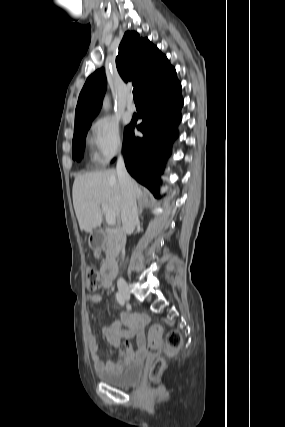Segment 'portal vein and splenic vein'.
Masks as SVG:
<instances>
[{
    "mask_svg": "<svg viewBox=\"0 0 285 427\" xmlns=\"http://www.w3.org/2000/svg\"><path fill=\"white\" fill-rule=\"evenodd\" d=\"M103 211L105 212L106 222L109 225H114L116 223L115 212L108 207L106 203L101 204Z\"/></svg>",
    "mask_w": 285,
    "mask_h": 427,
    "instance_id": "1",
    "label": "portal vein and splenic vein"
}]
</instances>
